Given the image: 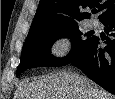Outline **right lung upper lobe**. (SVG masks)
Segmentation results:
<instances>
[{"mask_svg":"<svg viewBox=\"0 0 115 99\" xmlns=\"http://www.w3.org/2000/svg\"><path fill=\"white\" fill-rule=\"evenodd\" d=\"M100 2L101 0H40L27 37L59 30L89 18L88 12H79L81 8H99L98 11L102 12L99 19L115 11V0Z\"/></svg>","mask_w":115,"mask_h":99,"instance_id":"obj_1","label":"right lung upper lobe"}]
</instances>
